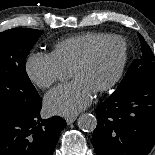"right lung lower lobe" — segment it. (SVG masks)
<instances>
[{"label":"right lung lower lobe","instance_id":"1","mask_svg":"<svg viewBox=\"0 0 155 155\" xmlns=\"http://www.w3.org/2000/svg\"><path fill=\"white\" fill-rule=\"evenodd\" d=\"M41 107L40 100L29 113L0 114V155H52L66 122L58 116L41 119Z\"/></svg>","mask_w":155,"mask_h":155}]
</instances>
